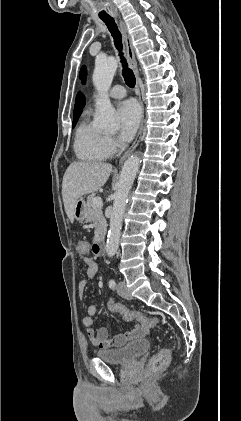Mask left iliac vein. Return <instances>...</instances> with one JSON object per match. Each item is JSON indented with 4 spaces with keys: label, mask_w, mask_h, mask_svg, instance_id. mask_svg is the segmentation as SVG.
Wrapping results in <instances>:
<instances>
[{
    "label": "left iliac vein",
    "mask_w": 241,
    "mask_h": 421,
    "mask_svg": "<svg viewBox=\"0 0 241 421\" xmlns=\"http://www.w3.org/2000/svg\"><path fill=\"white\" fill-rule=\"evenodd\" d=\"M117 291H118V294H119L121 297H123V298H125V299H127V300L132 299V295H131V293L129 292V290H128L127 286H126V283H125L124 281H120V282L118 283V286H117Z\"/></svg>",
    "instance_id": "4c4485c4"
}]
</instances>
